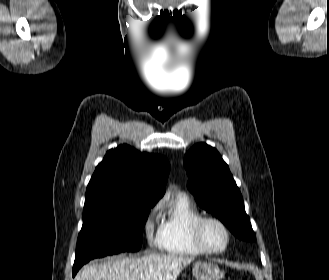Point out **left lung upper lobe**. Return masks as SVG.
Returning a JSON list of instances; mask_svg holds the SVG:
<instances>
[{
  "instance_id": "1",
  "label": "left lung upper lobe",
  "mask_w": 329,
  "mask_h": 280,
  "mask_svg": "<svg viewBox=\"0 0 329 280\" xmlns=\"http://www.w3.org/2000/svg\"><path fill=\"white\" fill-rule=\"evenodd\" d=\"M184 167L197 204L217 216L237 238L255 241L240 190L218 151L196 144L184 156Z\"/></svg>"
}]
</instances>
